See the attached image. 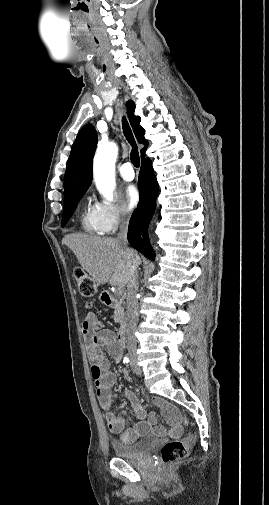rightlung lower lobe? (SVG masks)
<instances>
[{
  "label": "right lung lower lobe",
  "instance_id": "1",
  "mask_svg": "<svg viewBox=\"0 0 269 505\" xmlns=\"http://www.w3.org/2000/svg\"><path fill=\"white\" fill-rule=\"evenodd\" d=\"M141 165L138 181L140 201L129 222L128 241L144 256L154 260L155 253L150 245V241L146 233L150 218L156 207L158 182L152 170L151 159L145 157L142 158Z\"/></svg>",
  "mask_w": 269,
  "mask_h": 505
}]
</instances>
